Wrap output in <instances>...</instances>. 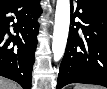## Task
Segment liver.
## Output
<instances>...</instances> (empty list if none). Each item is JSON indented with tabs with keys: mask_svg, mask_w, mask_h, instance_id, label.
<instances>
[{
	"mask_svg": "<svg viewBox=\"0 0 107 89\" xmlns=\"http://www.w3.org/2000/svg\"><path fill=\"white\" fill-rule=\"evenodd\" d=\"M0 89H20V87L12 81L1 79Z\"/></svg>",
	"mask_w": 107,
	"mask_h": 89,
	"instance_id": "1",
	"label": "liver"
}]
</instances>
